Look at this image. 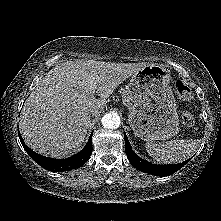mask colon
Here are the masks:
<instances>
[{"instance_id": "colon-1", "label": "colon", "mask_w": 221, "mask_h": 221, "mask_svg": "<svg viewBox=\"0 0 221 221\" xmlns=\"http://www.w3.org/2000/svg\"><path fill=\"white\" fill-rule=\"evenodd\" d=\"M174 92L177 98L182 102H191L193 100V92L191 88L182 81H177L174 85ZM182 122L186 126H193L195 123L194 116L189 111H184L181 116Z\"/></svg>"}]
</instances>
